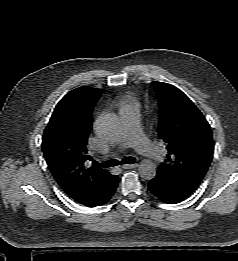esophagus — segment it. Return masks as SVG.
I'll return each mask as SVG.
<instances>
[{"label": "esophagus", "mask_w": 238, "mask_h": 261, "mask_svg": "<svg viewBox=\"0 0 238 261\" xmlns=\"http://www.w3.org/2000/svg\"><path fill=\"white\" fill-rule=\"evenodd\" d=\"M136 167H138V164H125V165H122L123 169H133V168H136Z\"/></svg>", "instance_id": "esophagus-1"}]
</instances>
